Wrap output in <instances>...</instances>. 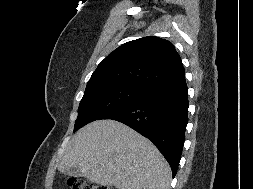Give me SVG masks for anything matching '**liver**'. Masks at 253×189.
I'll use <instances>...</instances> for the list:
<instances>
[{"mask_svg":"<svg viewBox=\"0 0 253 189\" xmlns=\"http://www.w3.org/2000/svg\"><path fill=\"white\" fill-rule=\"evenodd\" d=\"M117 189H168L171 169L147 138L114 120H97L77 131L58 167Z\"/></svg>","mask_w":253,"mask_h":189,"instance_id":"1","label":"liver"}]
</instances>
